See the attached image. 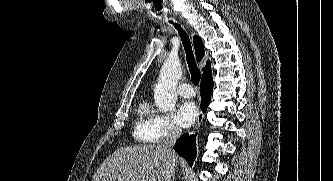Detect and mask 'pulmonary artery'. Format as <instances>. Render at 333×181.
I'll list each match as a JSON object with an SVG mask.
<instances>
[{"instance_id": "1", "label": "pulmonary artery", "mask_w": 333, "mask_h": 181, "mask_svg": "<svg viewBox=\"0 0 333 181\" xmlns=\"http://www.w3.org/2000/svg\"><path fill=\"white\" fill-rule=\"evenodd\" d=\"M178 93L184 98H192L195 96V91L189 83H182L178 87Z\"/></svg>"}]
</instances>
